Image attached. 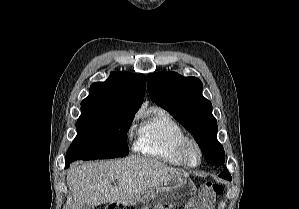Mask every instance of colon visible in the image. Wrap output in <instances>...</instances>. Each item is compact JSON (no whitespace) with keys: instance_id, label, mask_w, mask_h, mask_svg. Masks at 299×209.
Listing matches in <instances>:
<instances>
[{"instance_id":"1","label":"colon","mask_w":299,"mask_h":209,"mask_svg":"<svg viewBox=\"0 0 299 209\" xmlns=\"http://www.w3.org/2000/svg\"><path fill=\"white\" fill-rule=\"evenodd\" d=\"M224 187L218 183L206 182L200 187L201 203L196 209H213L216 199L222 195Z\"/></svg>"}]
</instances>
